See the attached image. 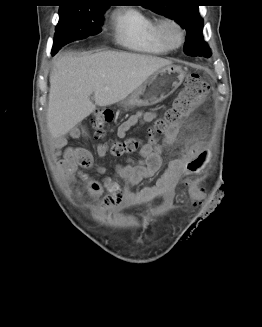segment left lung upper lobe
Instances as JSON below:
<instances>
[{
	"instance_id": "left-lung-upper-lobe-1",
	"label": "left lung upper lobe",
	"mask_w": 262,
	"mask_h": 327,
	"mask_svg": "<svg viewBox=\"0 0 262 327\" xmlns=\"http://www.w3.org/2000/svg\"><path fill=\"white\" fill-rule=\"evenodd\" d=\"M147 3L146 8L174 19L187 31L184 45L187 55L210 57L211 51L202 35L199 6L192 4V0H148Z\"/></svg>"
}]
</instances>
